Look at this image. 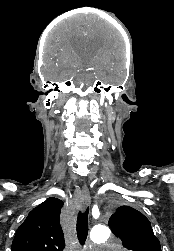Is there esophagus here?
Returning <instances> with one entry per match:
<instances>
[{
    "mask_svg": "<svg viewBox=\"0 0 174 251\" xmlns=\"http://www.w3.org/2000/svg\"><path fill=\"white\" fill-rule=\"evenodd\" d=\"M80 196H81V202L83 206L87 207L91 202V197H90L89 189L86 185H83Z\"/></svg>",
    "mask_w": 174,
    "mask_h": 251,
    "instance_id": "34e87169",
    "label": "esophagus"
}]
</instances>
